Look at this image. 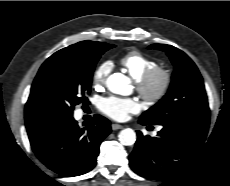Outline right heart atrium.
<instances>
[{"label":"right heart atrium","instance_id":"right-heart-atrium-1","mask_svg":"<svg viewBox=\"0 0 230 186\" xmlns=\"http://www.w3.org/2000/svg\"><path fill=\"white\" fill-rule=\"evenodd\" d=\"M112 70L110 61L101 62L93 72L92 81L95 86H101L105 83L108 75Z\"/></svg>","mask_w":230,"mask_h":186}]
</instances>
